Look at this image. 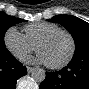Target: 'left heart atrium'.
<instances>
[{
  "label": "left heart atrium",
  "mask_w": 89,
  "mask_h": 89,
  "mask_svg": "<svg viewBox=\"0 0 89 89\" xmlns=\"http://www.w3.org/2000/svg\"><path fill=\"white\" fill-rule=\"evenodd\" d=\"M25 61L27 62H36V63H40V64H48L46 58L44 57L43 54L41 53H37V55L35 57H28L25 58Z\"/></svg>",
  "instance_id": "39dd6f15"
}]
</instances>
